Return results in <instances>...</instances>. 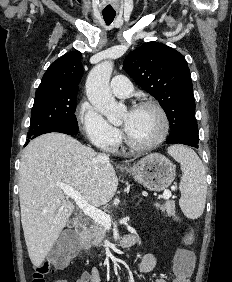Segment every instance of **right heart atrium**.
Wrapping results in <instances>:
<instances>
[{"label": "right heart atrium", "instance_id": "d8ad5b80", "mask_svg": "<svg viewBox=\"0 0 232 282\" xmlns=\"http://www.w3.org/2000/svg\"><path fill=\"white\" fill-rule=\"evenodd\" d=\"M77 117L83 133L92 144L108 151H114L117 148L121 138L119 130L89 102L80 103Z\"/></svg>", "mask_w": 232, "mask_h": 282}]
</instances>
